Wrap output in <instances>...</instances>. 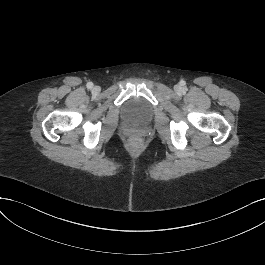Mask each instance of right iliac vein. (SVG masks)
I'll list each match as a JSON object with an SVG mask.
<instances>
[{
  "mask_svg": "<svg viewBox=\"0 0 265 265\" xmlns=\"http://www.w3.org/2000/svg\"><path fill=\"white\" fill-rule=\"evenodd\" d=\"M99 91H100V88L98 87V86H95L93 89H92V92L93 93H99Z\"/></svg>",
  "mask_w": 265,
  "mask_h": 265,
  "instance_id": "right-iliac-vein-1",
  "label": "right iliac vein"
}]
</instances>
